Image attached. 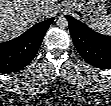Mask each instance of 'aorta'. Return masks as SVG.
Returning a JSON list of instances; mask_svg holds the SVG:
<instances>
[{
	"label": "aorta",
	"mask_w": 111,
	"mask_h": 106,
	"mask_svg": "<svg viewBox=\"0 0 111 106\" xmlns=\"http://www.w3.org/2000/svg\"><path fill=\"white\" fill-rule=\"evenodd\" d=\"M57 25L60 27V28H65L68 26V21L65 17H59L57 19Z\"/></svg>",
	"instance_id": "aorta-1"
}]
</instances>
